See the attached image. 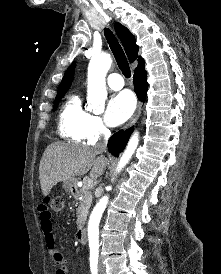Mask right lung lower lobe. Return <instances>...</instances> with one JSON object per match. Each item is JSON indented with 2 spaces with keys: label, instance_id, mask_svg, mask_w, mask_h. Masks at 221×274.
Returning <instances> with one entry per match:
<instances>
[{
  "label": "right lung lower lobe",
  "instance_id": "right-lung-lower-lobe-1",
  "mask_svg": "<svg viewBox=\"0 0 221 274\" xmlns=\"http://www.w3.org/2000/svg\"><path fill=\"white\" fill-rule=\"evenodd\" d=\"M134 80V89L137 94V97L144 101L147 94L148 83H147V73L145 68L135 71L133 76ZM133 132V128L126 131H118L108 141V150L109 152L118 157L122 150L125 148L128 139Z\"/></svg>",
  "mask_w": 221,
  "mask_h": 274
}]
</instances>
